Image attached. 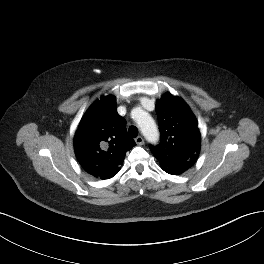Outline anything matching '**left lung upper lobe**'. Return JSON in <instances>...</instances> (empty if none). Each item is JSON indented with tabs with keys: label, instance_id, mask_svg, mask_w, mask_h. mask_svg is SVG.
I'll list each match as a JSON object with an SVG mask.
<instances>
[{
	"label": "left lung upper lobe",
	"instance_id": "obj_1",
	"mask_svg": "<svg viewBox=\"0 0 264 264\" xmlns=\"http://www.w3.org/2000/svg\"><path fill=\"white\" fill-rule=\"evenodd\" d=\"M156 112L161 140L157 146L150 145L151 152L165 172L181 174L194 165L200 153L197 120L187 104L170 93L157 101Z\"/></svg>",
	"mask_w": 264,
	"mask_h": 264
}]
</instances>
